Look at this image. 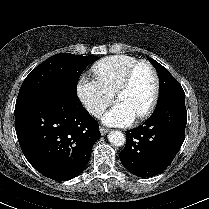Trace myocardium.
I'll return each mask as SVG.
<instances>
[{
    "mask_svg": "<svg viewBox=\"0 0 209 209\" xmlns=\"http://www.w3.org/2000/svg\"><path fill=\"white\" fill-rule=\"evenodd\" d=\"M141 67L148 68L152 73L154 79V90L152 98L147 107L136 116L137 120H142L146 118L154 110L157 104L160 94V78L155 67L147 61H139L138 63L134 64L132 67L128 69V71L126 72V74L124 75L114 92L115 98L117 99L118 95L130 85L135 73Z\"/></svg>",
    "mask_w": 209,
    "mask_h": 209,
    "instance_id": "1",
    "label": "myocardium"
}]
</instances>
